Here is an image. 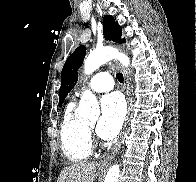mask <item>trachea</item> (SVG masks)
<instances>
[{
	"mask_svg": "<svg viewBox=\"0 0 196 182\" xmlns=\"http://www.w3.org/2000/svg\"><path fill=\"white\" fill-rule=\"evenodd\" d=\"M116 78L117 80L120 82V83H123V80H124V77H123V74L122 73H117L116 74Z\"/></svg>",
	"mask_w": 196,
	"mask_h": 182,
	"instance_id": "3493384b",
	"label": "trachea"
}]
</instances>
